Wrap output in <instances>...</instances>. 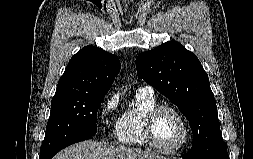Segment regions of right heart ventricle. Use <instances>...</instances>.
I'll list each match as a JSON object with an SVG mask.
<instances>
[{"label":"right heart ventricle","mask_w":253,"mask_h":159,"mask_svg":"<svg viewBox=\"0 0 253 159\" xmlns=\"http://www.w3.org/2000/svg\"><path fill=\"white\" fill-rule=\"evenodd\" d=\"M157 104L154 94L136 92V105L125 110L115 129L120 145L138 148L147 145L142 134V124L147 111Z\"/></svg>","instance_id":"e07e8e85"}]
</instances>
